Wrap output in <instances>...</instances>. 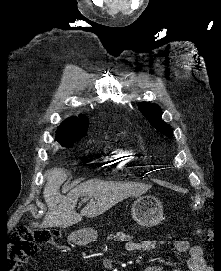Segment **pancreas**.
Segmentation results:
<instances>
[{"label": "pancreas", "mask_w": 221, "mask_h": 271, "mask_svg": "<svg viewBox=\"0 0 221 271\" xmlns=\"http://www.w3.org/2000/svg\"><path fill=\"white\" fill-rule=\"evenodd\" d=\"M126 233H123V231H117L116 235H113V233H110L107 237L108 242H133V237H126Z\"/></svg>", "instance_id": "obj_1"}]
</instances>
